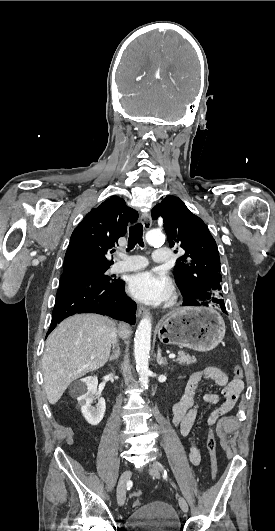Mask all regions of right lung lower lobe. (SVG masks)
<instances>
[{"mask_svg":"<svg viewBox=\"0 0 275 531\" xmlns=\"http://www.w3.org/2000/svg\"><path fill=\"white\" fill-rule=\"evenodd\" d=\"M124 286L122 280L103 282L85 273L62 275L47 335L76 313H97L134 324L136 303L126 296Z\"/></svg>","mask_w":275,"mask_h":531,"instance_id":"right-lung-lower-lobe-1","label":"right lung lower lobe"}]
</instances>
